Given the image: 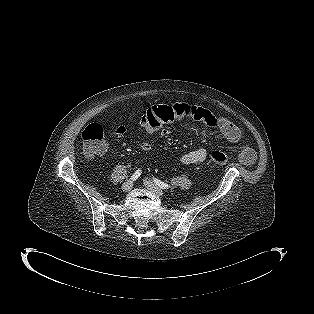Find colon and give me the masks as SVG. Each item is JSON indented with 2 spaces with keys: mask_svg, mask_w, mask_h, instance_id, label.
Masks as SVG:
<instances>
[{
  "mask_svg": "<svg viewBox=\"0 0 314 314\" xmlns=\"http://www.w3.org/2000/svg\"><path fill=\"white\" fill-rule=\"evenodd\" d=\"M151 125V124H150ZM158 126V125H152ZM83 151L88 157L103 155L107 150L105 129L102 125L93 123L82 132ZM210 159L216 164H226L228 157L224 152L214 150L210 153Z\"/></svg>",
  "mask_w": 314,
  "mask_h": 314,
  "instance_id": "5ec220e1",
  "label": "colon"
}]
</instances>
